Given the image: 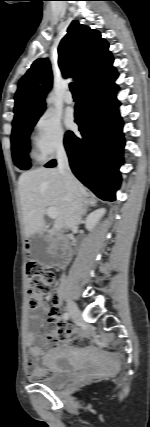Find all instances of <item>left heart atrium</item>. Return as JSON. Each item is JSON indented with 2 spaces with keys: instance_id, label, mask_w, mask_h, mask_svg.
Masks as SVG:
<instances>
[{
  "instance_id": "1",
  "label": "left heart atrium",
  "mask_w": 150,
  "mask_h": 427,
  "mask_svg": "<svg viewBox=\"0 0 150 427\" xmlns=\"http://www.w3.org/2000/svg\"><path fill=\"white\" fill-rule=\"evenodd\" d=\"M65 123H66L67 127H73L74 123H73V118L71 115L66 116Z\"/></svg>"
}]
</instances>
